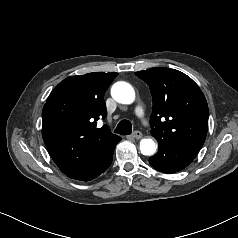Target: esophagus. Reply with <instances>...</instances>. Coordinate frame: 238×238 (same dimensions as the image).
Listing matches in <instances>:
<instances>
[{"label":"esophagus","instance_id":"obj_1","mask_svg":"<svg viewBox=\"0 0 238 238\" xmlns=\"http://www.w3.org/2000/svg\"><path fill=\"white\" fill-rule=\"evenodd\" d=\"M132 137H133L134 139L139 140V139L142 138V133H141L140 131H135V132L132 134Z\"/></svg>","mask_w":238,"mask_h":238}]
</instances>
